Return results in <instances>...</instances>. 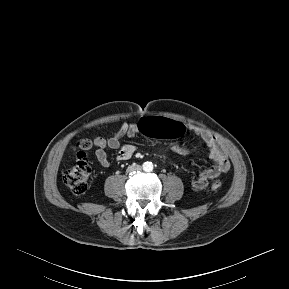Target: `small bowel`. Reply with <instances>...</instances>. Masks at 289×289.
I'll return each mask as SVG.
<instances>
[{
  "label": "small bowel",
  "mask_w": 289,
  "mask_h": 289,
  "mask_svg": "<svg viewBox=\"0 0 289 289\" xmlns=\"http://www.w3.org/2000/svg\"><path fill=\"white\" fill-rule=\"evenodd\" d=\"M137 125L138 123H123L119 130L112 137H97L94 140V145L96 147L95 156L101 166L109 167L110 165L106 151L108 148L119 150L116 155L117 161H126L134 155L136 151L135 146L131 144L122 145L121 140L124 137L130 138L137 135ZM183 126L185 127V125ZM188 129L203 140L205 146L208 149L210 158H212L215 162L213 168L201 172L192 183V186L195 189H202L208 184L210 180L217 178L223 173L228 172L231 164L226 150L222 147V145L216 140L214 136H212L206 130L197 126L189 125ZM171 150L177 154L182 155H186L191 152L189 148L183 146L179 141H175L172 144Z\"/></svg>",
  "instance_id": "small-bowel-1"
}]
</instances>
